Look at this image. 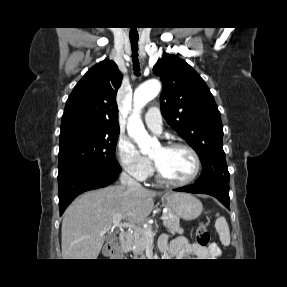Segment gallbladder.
<instances>
[{"label":"gallbladder","mask_w":287,"mask_h":287,"mask_svg":"<svg viewBox=\"0 0 287 287\" xmlns=\"http://www.w3.org/2000/svg\"><path fill=\"white\" fill-rule=\"evenodd\" d=\"M115 237L114 233H109L105 236V241H109Z\"/></svg>","instance_id":"obj_1"}]
</instances>
